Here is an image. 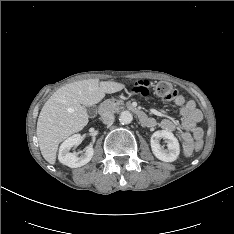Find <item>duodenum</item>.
<instances>
[{
	"label": "duodenum",
	"instance_id": "duodenum-1",
	"mask_svg": "<svg viewBox=\"0 0 234 234\" xmlns=\"http://www.w3.org/2000/svg\"><path fill=\"white\" fill-rule=\"evenodd\" d=\"M114 106L113 103H105L100 107V112L101 113H106L108 112L112 107ZM130 109L136 114V116L138 117L139 121L143 124V125H147L150 122V118L141 110H139L137 107L135 106H130Z\"/></svg>",
	"mask_w": 234,
	"mask_h": 234
}]
</instances>
